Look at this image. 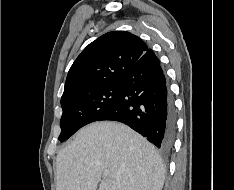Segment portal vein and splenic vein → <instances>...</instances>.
Here are the masks:
<instances>
[{"instance_id":"obj_1","label":"portal vein and splenic vein","mask_w":234,"mask_h":190,"mask_svg":"<svg viewBox=\"0 0 234 190\" xmlns=\"http://www.w3.org/2000/svg\"><path fill=\"white\" fill-rule=\"evenodd\" d=\"M108 174H109L108 170H105L104 173H103L104 176H108Z\"/></svg>"}]
</instances>
